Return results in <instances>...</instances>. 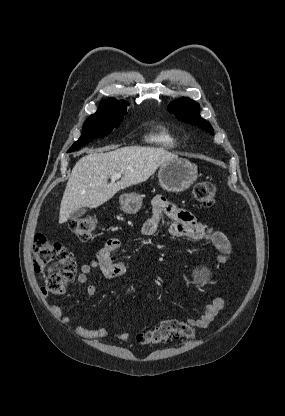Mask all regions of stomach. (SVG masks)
I'll return each instance as SVG.
<instances>
[{
  "mask_svg": "<svg viewBox=\"0 0 285 416\" xmlns=\"http://www.w3.org/2000/svg\"><path fill=\"white\" fill-rule=\"evenodd\" d=\"M197 168L189 160L176 158L162 164L158 172V180L161 188L167 192H184L196 182ZM141 196L138 194H122L120 206L125 214H137L142 206Z\"/></svg>",
  "mask_w": 285,
  "mask_h": 416,
  "instance_id": "0dacf381",
  "label": "stomach"
}]
</instances>
